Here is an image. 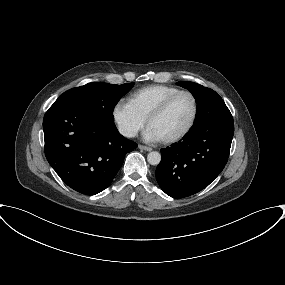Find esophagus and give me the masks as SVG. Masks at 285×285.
I'll use <instances>...</instances> for the list:
<instances>
[{
  "label": "esophagus",
  "instance_id": "obj_1",
  "mask_svg": "<svg viewBox=\"0 0 285 285\" xmlns=\"http://www.w3.org/2000/svg\"><path fill=\"white\" fill-rule=\"evenodd\" d=\"M138 148L144 151H152L150 147L144 146V145H138Z\"/></svg>",
  "mask_w": 285,
  "mask_h": 285
}]
</instances>
